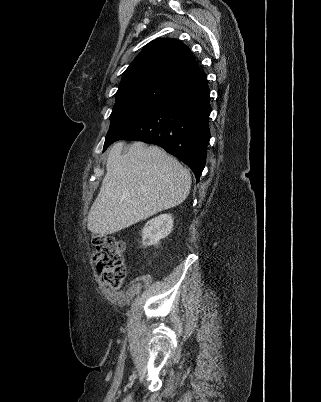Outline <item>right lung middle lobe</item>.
<instances>
[{"mask_svg":"<svg viewBox=\"0 0 321 402\" xmlns=\"http://www.w3.org/2000/svg\"><path fill=\"white\" fill-rule=\"evenodd\" d=\"M171 88L172 86L161 83H148L118 91L116 103L110 115L111 124L105 144L160 103L168 95Z\"/></svg>","mask_w":321,"mask_h":402,"instance_id":"dd1d6c3e","label":"right lung middle lobe"}]
</instances>
